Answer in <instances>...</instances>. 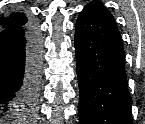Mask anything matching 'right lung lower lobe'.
Returning <instances> with one entry per match:
<instances>
[{"label": "right lung lower lobe", "instance_id": "obj_1", "mask_svg": "<svg viewBox=\"0 0 145 124\" xmlns=\"http://www.w3.org/2000/svg\"><path fill=\"white\" fill-rule=\"evenodd\" d=\"M41 40L32 25L0 31V120L19 124L36 109Z\"/></svg>", "mask_w": 145, "mask_h": 124}]
</instances>
